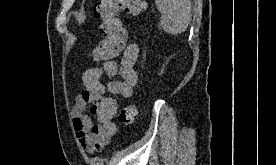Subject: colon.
I'll use <instances>...</instances> for the list:
<instances>
[{
  "mask_svg": "<svg viewBox=\"0 0 276 165\" xmlns=\"http://www.w3.org/2000/svg\"><path fill=\"white\" fill-rule=\"evenodd\" d=\"M146 10L144 0H99L94 6V15L100 21L101 41L92 49L94 60L109 61L122 51L126 41V32L119 19L121 13L140 15ZM137 108L134 104L124 106L118 121L125 126L134 123Z\"/></svg>",
  "mask_w": 276,
  "mask_h": 165,
  "instance_id": "obj_1",
  "label": "colon"
}]
</instances>
